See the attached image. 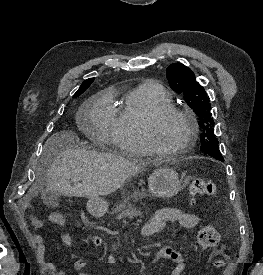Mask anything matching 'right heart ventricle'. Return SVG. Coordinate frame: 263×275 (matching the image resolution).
Returning a JSON list of instances; mask_svg holds the SVG:
<instances>
[{
  "instance_id": "obj_1",
  "label": "right heart ventricle",
  "mask_w": 263,
  "mask_h": 275,
  "mask_svg": "<svg viewBox=\"0 0 263 275\" xmlns=\"http://www.w3.org/2000/svg\"><path fill=\"white\" fill-rule=\"evenodd\" d=\"M165 105H170L169 96L156 83L146 82L128 90L111 115L115 147L130 156L151 154L143 136V123L150 112Z\"/></svg>"
}]
</instances>
